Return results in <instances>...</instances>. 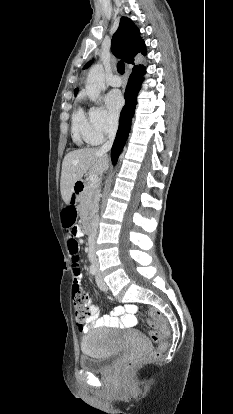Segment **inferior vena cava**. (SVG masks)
Here are the masks:
<instances>
[{
	"instance_id": "inferior-vena-cava-1",
	"label": "inferior vena cava",
	"mask_w": 233,
	"mask_h": 414,
	"mask_svg": "<svg viewBox=\"0 0 233 414\" xmlns=\"http://www.w3.org/2000/svg\"><path fill=\"white\" fill-rule=\"evenodd\" d=\"M117 128H118V120L112 119L109 122L108 141L101 146V148L99 149L100 153L105 154L106 152L111 150L115 136H116ZM98 223H99V216L98 214H96L93 219L94 229L88 234L89 240L87 242L88 243L87 244L88 245L87 256L90 258V261L96 265L98 264V260L96 258V252H97V246H96L97 230L96 229L98 228Z\"/></svg>"
}]
</instances>
